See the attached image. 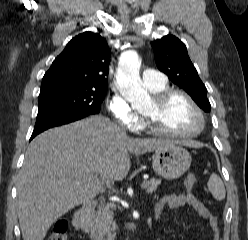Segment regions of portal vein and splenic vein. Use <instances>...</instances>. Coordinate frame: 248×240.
I'll return each instance as SVG.
<instances>
[{
  "label": "portal vein and splenic vein",
  "instance_id": "18ae733b",
  "mask_svg": "<svg viewBox=\"0 0 248 240\" xmlns=\"http://www.w3.org/2000/svg\"><path fill=\"white\" fill-rule=\"evenodd\" d=\"M141 187H145V186H144V182L142 183Z\"/></svg>",
  "mask_w": 248,
  "mask_h": 240
}]
</instances>
